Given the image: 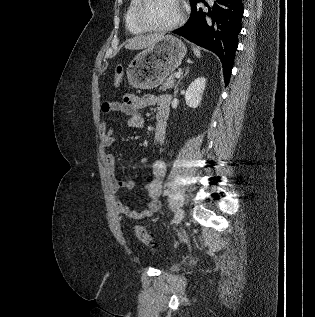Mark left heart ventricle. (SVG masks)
<instances>
[{
  "label": "left heart ventricle",
  "instance_id": "left-heart-ventricle-1",
  "mask_svg": "<svg viewBox=\"0 0 315 317\" xmlns=\"http://www.w3.org/2000/svg\"><path fill=\"white\" fill-rule=\"evenodd\" d=\"M179 15V0H149L143 10L144 20L155 26L171 24Z\"/></svg>",
  "mask_w": 315,
  "mask_h": 317
}]
</instances>
